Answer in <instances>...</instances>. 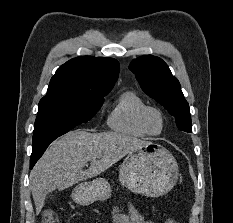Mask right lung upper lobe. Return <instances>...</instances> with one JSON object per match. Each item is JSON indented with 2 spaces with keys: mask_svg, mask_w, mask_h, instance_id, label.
I'll return each mask as SVG.
<instances>
[{
  "mask_svg": "<svg viewBox=\"0 0 233 223\" xmlns=\"http://www.w3.org/2000/svg\"><path fill=\"white\" fill-rule=\"evenodd\" d=\"M118 74L119 63L113 58L76 57L57 69L45 97L103 99L113 88Z\"/></svg>",
  "mask_w": 233,
  "mask_h": 223,
  "instance_id": "obj_1",
  "label": "right lung upper lobe"
}]
</instances>
